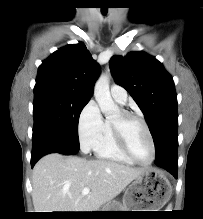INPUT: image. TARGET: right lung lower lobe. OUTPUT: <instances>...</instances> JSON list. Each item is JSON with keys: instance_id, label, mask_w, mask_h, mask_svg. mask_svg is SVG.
<instances>
[{"instance_id": "1", "label": "right lung lower lobe", "mask_w": 203, "mask_h": 219, "mask_svg": "<svg viewBox=\"0 0 203 219\" xmlns=\"http://www.w3.org/2000/svg\"><path fill=\"white\" fill-rule=\"evenodd\" d=\"M53 144L47 141H39L33 143L32 154H31V167L44 155L52 153L54 150Z\"/></svg>"}]
</instances>
